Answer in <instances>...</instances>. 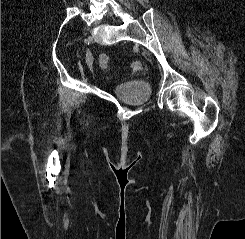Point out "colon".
Segmentation results:
<instances>
[{
	"instance_id": "obj_1",
	"label": "colon",
	"mask_w": 245,
	"mask_h": 239,
	"mask_svg": "<svg viewBox=\"0 0 245 239\" xmlns=\"http://www.w3.org/2000/svg\"><path fill=\"white\" fill-rule=\"evenodd\" d=\"M99 63L102 68H108L109 63H110V58L106 54H102L99 56Z\"/></svg>"
}]
</instances>
